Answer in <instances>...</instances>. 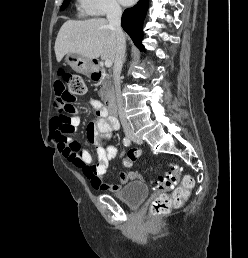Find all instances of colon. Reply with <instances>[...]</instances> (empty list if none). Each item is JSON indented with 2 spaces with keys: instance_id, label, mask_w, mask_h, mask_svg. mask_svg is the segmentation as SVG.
Returning <instances> with one entry per match:
<instances>
[{
  "instance_id": "1",
  "label": "colon",
  "mask_w": 248,
  "mask_h": 258,
  "mask_svg": "<svg viewBox=\"0 0 248 258\" xmlns=\"http://www.w3.org/2000/svg\"><path fill=\"white\" fill-rule=\"evenodd\" d=\"M65 81L67 84V94L55 101L56 115L52 120L53 126L61 133H69L73 130L70 117V114L73 112L71 102L76 96L83 95L86 91L85 82L79 75H69L65 78ZM138 149L140 150L141 148L139 147ZM139 150L135 147L134 150H131L123 158L122 162L126 167L132 166L137 157H141ZM84 174L85 176H91L93 170L91 168L85 169ZM179 179V166L171 164L166 175L158 179L156 186L159 190H170L177 186ZM193 186V178L185 176L181 185L171 195L161 194L152 201L150 205L151 213L153 215H163L172 208L180 206L189 197Z\"/></svg>"
}]
</instances>
